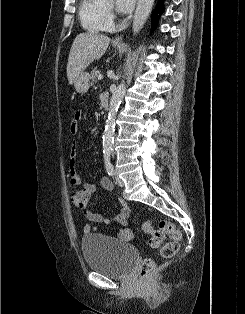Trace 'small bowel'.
<instances>
[{
	"instance_id": "obj_1",
	"label": "small bowel",
	"mask_w": 245,
	"mask_h": 314,
	"mask_svg": "<svg viewBox=\"0 0 245 314\" xmlns=\"http://www.w3.org/2000/svg\"><path fill=\"white\" fill-rule=\"evenodd\" d=\"M82 114L81 112H76L72 122L70 123V131L75 134L78 131L79 121L81 120ZM77 159L78 152L73 145V148L70 153L69 160V176L70 183L74 186H81L82 190H85L89 193V195L97 192L98 186L94 183L83 182L79 171L77 169ZM100 187L106 191H112L114 189L113 182L108 177H103L100 180ZM121 204V209L118 214L114 216H104L100 213H94L91 211H85V217L89 221L83 228L85 234L92 233L96 230L94 226L95 223H104V224H117L118 228L116 231V238L122 242H130L134 239V234L131 230L125 227L127 218L130 214V208L128 207L126 201L122 198L118 199Z\"/></svg>"
}]
</instances>
